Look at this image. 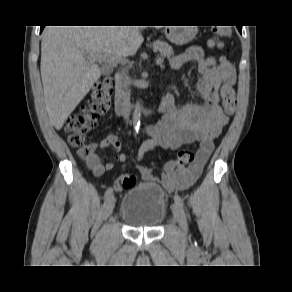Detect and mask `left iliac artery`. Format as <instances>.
Here are the masks:
<instances>
[{"label": "left iliac artery", "mask_w": 292, "mask_h": 292, "mask_svg": "<svg viewBox=\"0 0 292 292\" xmlns=\"http://www.w3.org/2000/svg\"><path fill=\"white\" fill-rule=\"evenodd\" d=\"M174 201L177 203L179 206L183 207L184 202L183 199L179 195L174 196Z\"/></svg>", "instance_id": "44dca946"}]
</instances>
